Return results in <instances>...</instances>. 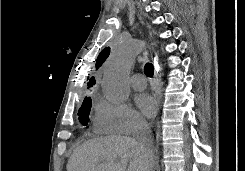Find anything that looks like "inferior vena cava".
<instances>
[{"label": "inferior vena cava", "mask_w": 245, "mask_h": 171, "mask_svg": "<svg viewBox=\"0 0 245 171\" xmlns=\"http://www.w3.org/2000/svg\"><path fill=\"white\" fill-rule=\"evenodd\" d=\"M135 140L137 141L144 156L152 160L153 159V151H152L153 139L151 135V130L146 122L141 121L138 123Z\"/></svg>", "instance_id": "602c4592"}]
</instances>
